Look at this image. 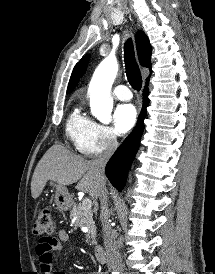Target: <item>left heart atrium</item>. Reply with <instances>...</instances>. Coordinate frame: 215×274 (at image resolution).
Segmentation results:
<instances>
[{
	"label": "left heart atrium",
	"mask_w": 215,
	"mask_h": 274,
	"mask_svg": "<svg viewBox=\"0 0 215 274\" xmlns=\"http://www.w3.org/2000/svg\"><path fill=\"white\" fill-rule=\"evenodd\" d=\"M113 119L116 131L121 135L125 134L129 132L136 123V109L131 104L119 105L114 111Z\"/></svg>",
	"instance_id": "left-heart-atrium-1"
}]
</instances>
